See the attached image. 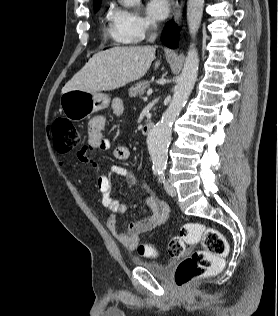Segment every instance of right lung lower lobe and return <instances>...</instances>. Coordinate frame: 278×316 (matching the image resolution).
I'll use <instances>...</instances> for the list:
<instances>
[{
	"instance_id": "obj_1",
	"label": "right lung lower lobe",
	"mask_w": 278,
	"mask_h": 316,
	"mask_svg": "<svg viewBox=\"0 0 278 316\" xmlns=\"http://www.w3.org/2000/svg\"><path fill=\"white\" fill-rule=\"evenodd\" d=\"M161 40L167 47L175 48L177 46L178 28L173 21L168 22L163 30Z\"/></svg>"
}]
</instances>
